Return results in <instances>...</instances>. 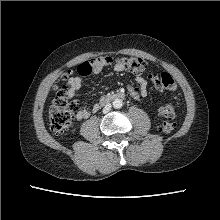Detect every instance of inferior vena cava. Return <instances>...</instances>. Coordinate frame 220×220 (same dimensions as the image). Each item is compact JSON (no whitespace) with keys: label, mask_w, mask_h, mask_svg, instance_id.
<instances>
[{"label":"inferior vena cava","mask_w":220,"mask_h":220,"mask_svg":"<svg viewBox=\"0 0 220 220\" xmlns=\"http://www.w3.org/2000/svg\"><path fill=\"white\" fill-rule=\"evenodd\" d=\"M111 104L110 103H108V104H106L105 105V107L103 108V113L105 114V113H108L110 110H111Z\"/></svg>","instance_id":"inferior-vena-cava-1"}]
</instances>
